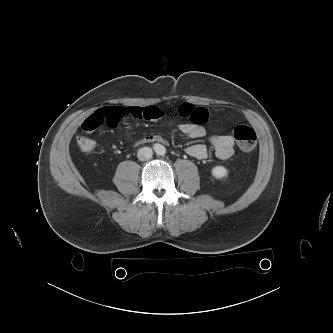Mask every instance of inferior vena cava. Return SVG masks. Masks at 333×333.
<instances>
[{
    "mask_svg": "<svg viewBox=\"0 0 333 333\" xmlns=\"http://www.w3.org/2000/svg\"><path fill=\"white\" fill-rule=\"evenodd\" d=\"M153 150L150 147H143L139 149L137 157L141 161H147L152 158Z\"/></svg>",
    "mask_w": 333,
    "mask_h": 333,
    "instance_id": "obj_1",
    "label": "inferior vena cava"
}]
</instances>
